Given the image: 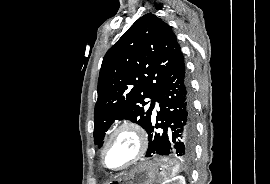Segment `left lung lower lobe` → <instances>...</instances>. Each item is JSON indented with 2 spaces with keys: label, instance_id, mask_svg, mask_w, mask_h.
Instances as JSON below:
<instances>
[{
  "label": "left lung lower lobe",
  "instance_id": "left-lung-lower-lobe-1",
  "mask_svg": "<svg viewBox=\"0 0 270 184\" xmlns=\"http://www.w3.org/2000/svg\"><path fill=\"white\" fill-rule=\"evenodd\" d=\"M155 100L160 110L156 115V123L153 116L146 130L149 146L145 156H171L186 161L192 159L196 129L191 89L182 53L167 73Z\"/></svg>",
  "mask_w": 270,
  "mask_h": 184
}]
</instances>
